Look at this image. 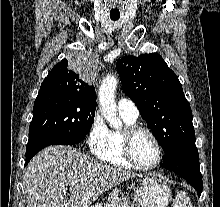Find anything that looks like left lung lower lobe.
<instances>
[{
  "label": "left lung lower lobe",
  "mask_w": 220,
  "mask_h": 207,
  "mask_svg": "<svg viewBox=\"0 0 220 207\" xmlns=\"http://www.w3.org/2000/svg\"><path fill=\"white\" fill-rule=\"evenodd\" d=\"M162 166L185 178L198 196L201 195L203 183L195 140L168 151L163 157Z\"/></svg>",
  "instance_id": "1"
}]
</instances>
